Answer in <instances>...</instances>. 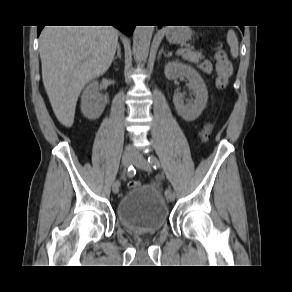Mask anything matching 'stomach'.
Wrapping results in <instances>:
<instances>
[{
	"label": "stomach",
	"mask_w": 292,
	"mask_h": 292,
	"mask_svg": "<svg viewBox=\"0 0 292 292\" xmlns=\"http://www.w3.org/2000/svg\"><path fill=\"white\" fill-rule=\"evenodd\" d=\"M190 37V30L184 27H170L166 31V38L171 43H185Z\"/></svg>",
	"instance_id": "stomach-1"
}]
</instances>
